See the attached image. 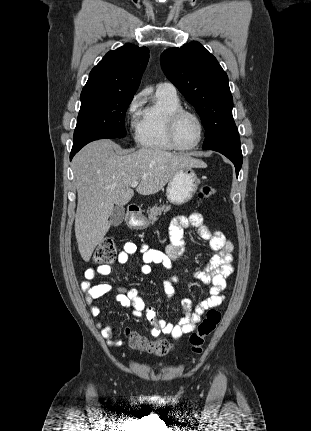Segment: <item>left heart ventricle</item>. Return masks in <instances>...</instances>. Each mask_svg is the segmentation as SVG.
Instances as JSON below:
<instances>
[{
	"mask_svg": "<svg viewBox=\"0 0 311 431\" xmlns=\"http://www.w3.org/2000/svg\"><path fill=\"white\" fill-rule=\"evenodd\" d=\"M201 135V126L193 115H184L177 126V138L180 145L189 147L194 145Z\"/></svg>",
	"mask_w": 311,
	"mask_h": 431,
	"instance_id": "obj_1",
	"label": "left heart ventricle"
}]
</instances>
